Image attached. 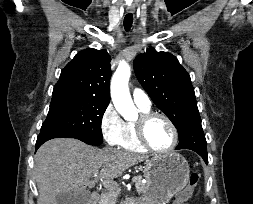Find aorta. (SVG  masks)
<instances>
[{"label":"aorta","mask_w":253,"mask_h":204,"mask_svg":"<svg viewBox=\"0 0 253 204\" xmlns=\"http://www.w3.org/2000/svg\"><path fill=\"white\" fill-rule=\"evenodd\" d=\"M131 68L127 63H121L111 79V97L116 110L125 120H135L138 111L130 96L128 82Z\"/></svg>","instance_id":"obj_1"}]
</instances>
